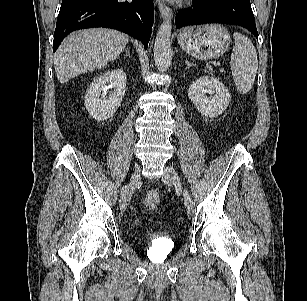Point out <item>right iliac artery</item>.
<instances>
[{"label":"right iliac artery","instance_id":"right-iliac-artery-1","mask_svg":"<svg viewBox=\"0 0 307 301\" xmlns=\"http://www.w3.org/2000/svg\"><path fill=\"white\" fill-rule=\"evenodd\" d=\"M127 188H128L127 185H125V186L122 188V190H121V196L124 195V193H125V191L127 190Z\"/></svg>","mask_w":307,"mask_h":301}]
</instances>
